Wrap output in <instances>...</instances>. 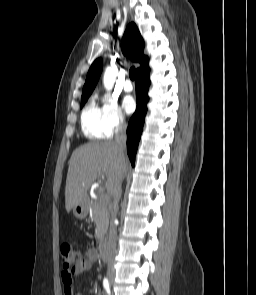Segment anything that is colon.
I'll use <instances>...</instances> for the list:
<instances>
[{"label": "colon", "instance_id": "obj_1", "mask_svg": "<svg viewBox=\"0 0 256 295\" xmlns=\"http://www.w3.org/2000/svg\"><path fill=\"white\" fill-rule=\"evenodd\" d=\"M61 265L65 270H72L80 261L79 253L70 244L61 246Z\"/></svg>", "mask_w": 256, "mask_h": 295}]
</instances>
